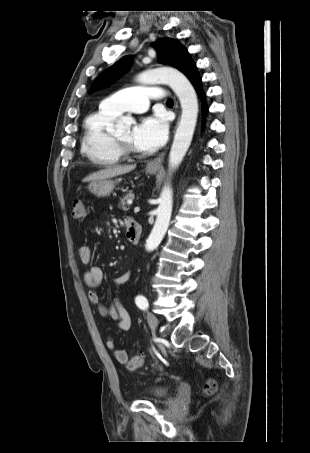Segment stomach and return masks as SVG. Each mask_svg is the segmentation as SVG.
Returning <instances> with one entry per match:
<instances>
[{
	"label": "stomach",
	"mask_w": 310,
	"mask_h": 453,
	"mask_svg": "<svg viewBox=\"0 0 310 453\" xmlns=\"http://www.w3.org/2000/svg\"><path fill=\"white\" fill-rule=\"evenodd\" d=\"M146 173L148 174H154L158 171V168H150V167H147L145 169ZM114 186H115V183L113 180H110V179H103V180H97V181H93L90 185H89V191L96 195V196H107L109 195L113 189H114Z\"/></svg>",
	"instance_id": "1"
}]
</instances>
